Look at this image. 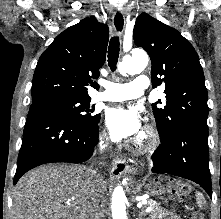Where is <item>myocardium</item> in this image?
I'll return each instance as SVG.
<instances>
[{
  "mask_svg": "<svg viewBox=\"0 0 221 219\" xmlns=\"http://www.w3.org/2000/svg\"><path fill=\"white\" fill-rule=\"evenodd\" d=\"M158 135L153 128L145 129L132 143L131 148L139 153H147L156 148Z\"/></svg>",
  "mask_w": 221,
  "mask_h": 219,
  "instance_id": "myocardium-1",
  "label": "myocardium"
}]
</instances>
